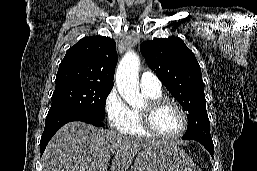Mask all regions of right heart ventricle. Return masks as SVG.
<instances>
[{
  "instance_id": "right-heart-ventricle-1",
  "label": "right heart ventricle",
  "mask_w": 257,
  "mask_h": 171,
  "mask_svg": "<svg viewBox=\"0 0 257 171\" xmlns=\"http://www.w3.org/2000/svg\"><path fill=\"white\" fill-rule=\"evenodd\" d=\"M143 95L146 97L147 100L155 99L162 96V92L160 91H150L142 89ZM124 134L131 135V136H148L149 134L145 132L141 125V116L140 110L138 109H131L130 110V117L129 122L125 130H123Z\"/></svg>"
}]
</instances>
